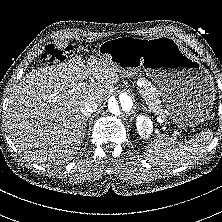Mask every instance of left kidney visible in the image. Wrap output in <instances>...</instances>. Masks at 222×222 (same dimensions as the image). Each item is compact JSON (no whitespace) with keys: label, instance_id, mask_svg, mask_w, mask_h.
<instances>
[{"label":"left kidney","instance_id":"5707ae66","mask_svg":"<svg viewBox=\"0 0 222 222\" xmlns=\"http://www.w3.org/2000/svg\"><path fill=\"white\" fill-rule=\"evenodd\" d=\"M136 127L139 135L144 139H148L153 131L152 120L145 115H139L137 117Z\"/></svg>","mask_w":222,"mask_h":222}]
</instances>
